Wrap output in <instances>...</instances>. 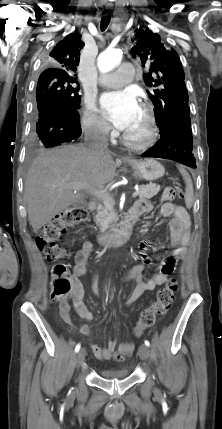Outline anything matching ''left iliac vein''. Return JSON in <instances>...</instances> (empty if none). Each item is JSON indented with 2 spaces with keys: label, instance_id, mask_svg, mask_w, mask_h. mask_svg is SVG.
<instances>
[{
  "label": "left iliac vein",
  "instance_id": "obj_1",
  "mask_svg": "<svg viewBox=\"0 0 222 429\" xmlns=\"http://www.w3.org/2000/svg\"><path fill=\"white\" fill-rule=\"evenodd\" d=\"M139 355L141 358H143L144 360H147L150 356V350L149 347L146 345H141L139 347Z\"/></svg>",
  "mask_w": 222,
  "mask_h": 429
}]
</instances>
